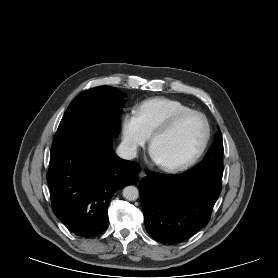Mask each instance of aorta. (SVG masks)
Returning <instances> with one entry per match:
<instances>
[{
	"instance_id": "obj_1",
	"label": "aorta",
	"mask_w": 278,
	"mask_h": 278,
	"mask_svg": "<svg viewBox=\"0 0 278 278\" xmlns=\"http://www.w3.org/2000/svg\"><path fill=\"white\" fill-rule=\"evenodd\" d=\"M123 197L128 201H135L139 197V190L135 186H127L123 189Z\"/></svg>"
}]
</instances>
